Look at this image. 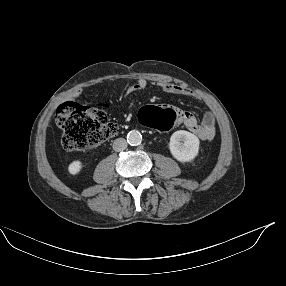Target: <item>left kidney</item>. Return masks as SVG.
Listing matches in <instances>:
<instances>
[{
    "label": "left kidney",
    "mask_w": 286,
    "mask_h": 286,
    "mask_svg": "<svg viewBox=\"0 0 286 286\" xmlns=\"http://www.w3.org/2000/svg\"><path fill=\"white\" fill-rule=\"evenodd\" d=\"M198 137L188 131L179 130L172 134L169 149L173 157L180 162L192 161L199 152Z\"/></svg>",
    "instance_id": "left-kidney-1"
}]
</instances>
